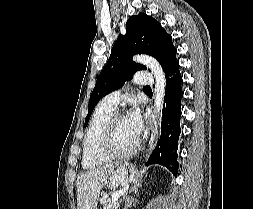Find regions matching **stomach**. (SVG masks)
<instances>
[{"mask_svg": "<svg viewBox=\"0 0 253 209\" xmlns=\"http://www.w3.org/2000/svg\"><path fill=\"white\" fill-rule=\"evenodd\" d=\"M125 169V168H124ZM105 186H114V181H105ZM106 188V187H105Z\"/></svg>", "mask_w": 253, "mask_h": 209, "instance_id": "1", "label": "stomach"}]
</instances>
